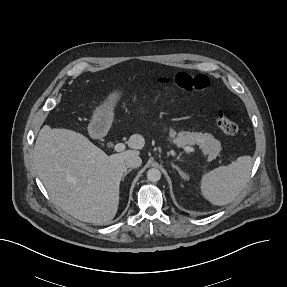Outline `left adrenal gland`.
<instances>
[{
	"mask_svg": "<svg viewBox=\"0 0 287 287\" xmlns=\"http://www.w3.org/2000/svg\"><path fill=\"white\" fill-rule=\"evenodd\" d=\"M171 166L178 171L179 175L182 178H184V179L186 178V175L184 174V172L177 165L171 163Z\"/></svg>",
	"mask_w": 287,
	"mask_h": 287,
	"instance_id": "1",
	"label": "left adrenal gland"
}]
</instances>
